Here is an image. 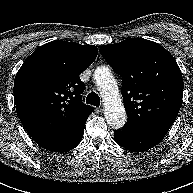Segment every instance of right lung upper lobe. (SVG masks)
I'll return each mask as SVG.
<instances>
[{
    "label": "right lung upper lobe",
    "instance_id": "right-lung-upper-lobe-1",
    "mask_svg": "<svg viewBox=\"0 0 193 193\" xmlns=\"http://www.w3.org/2000/svg\"><path fill=\"white\" fill-rule=\"evenodd\" d=\"M97 54L94 45L57 40L27 57L15 78L14 98L32 138L67 130L92 113L93 108L82 102L85 84L79 75Z\"/></svg>",
    "mask_w": 193,
    "mask_h": 193
}]
</instances>
